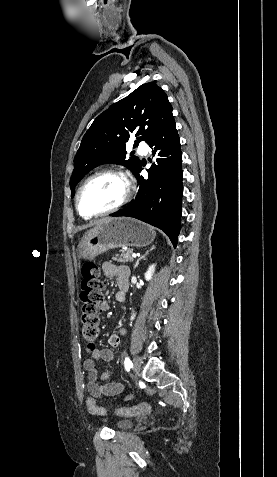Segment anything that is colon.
I'll return each instance as SVG.
<instances>
[{"instance_id":"5ec220e1","label":"colon","mask_w":277,"mask_h":477,"mask_svg":"<svg viewBox=\"0 0 277 477\" xmlns=\"http://www.w3.org/2000/svg\"><path fill=\"white\" fill-rule=\"evenodd\" d=\"M104 283L100 276L98 266L93 262H87L82 267L80 300V333L89 351L95 349V342L99 336V321L104 301ZM87 407L93 415H103L105 410L98 406L95 399H87ZM150 410V405L142 403L133 407H121L116 410L120 416H135Z\"/></svg>"}]
</instances>
